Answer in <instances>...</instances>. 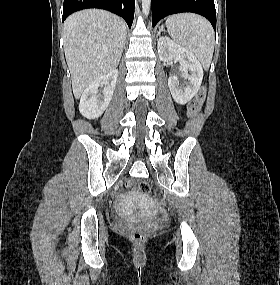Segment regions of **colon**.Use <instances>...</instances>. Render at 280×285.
I'll return each mask as SVG.
<instances>
[{
  "label": "colon",
  "instance_id": "1",
  "mask_svg": "<svg viewBox=\"0 0 280 285\" xmlns=\"http://www.w3.org/2000/svg\"><path fill=\"white\" fill-rule=\"evenodd\" d=\"M205 100V90L202 89L198 94L192 99L187 107L188 114L190 116L195 115L202 107ZM129 187L134 189L140 194H144L149 190V186L145 182L131 181L129 182ZM148 235L147 231L136 229L132 232L131 238L136 242H142L146 239Z\"/></svg>",
  "mask_w": 280,
  "mask_h": 285
}]
</instances>
